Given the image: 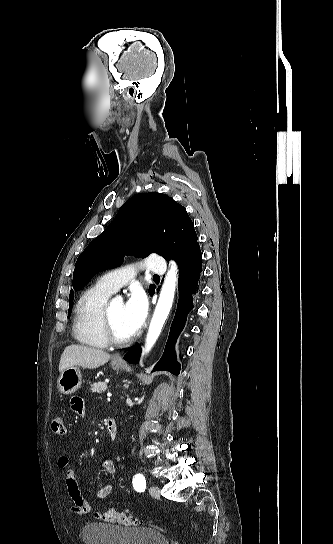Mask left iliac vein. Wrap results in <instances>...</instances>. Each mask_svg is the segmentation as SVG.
<instances>
[{
    "mask_svg": "<svg viewBox=\"0 0 333 544\" xmlns=\"http://www.w3.org/2000/svg\"><path fill=\"white\" fill-rule=\"evenodd\" d=\"M149 493L151 496L158 498L160 496V488L158 486L153 485L149 488Z\"/></svg>",
    "mask_w": 333,
    "mask_h": 544,
    "instance_id": "1",
    "label": "left iliac vein"
}]
</instances>
